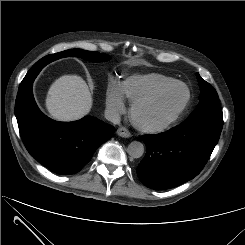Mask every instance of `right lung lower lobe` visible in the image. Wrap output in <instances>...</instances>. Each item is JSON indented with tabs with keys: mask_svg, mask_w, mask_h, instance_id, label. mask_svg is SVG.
<instances>
[{
	"mask_svg": "<svg viewBox=\"0 0 245 245\" xmlns=\"http://www.w3.org/2000/svg\"><path fill=\"white\" fill-rule=\"evenodd\" d=\"M32 84L18 91L15 115L21 138L31 156L62 175L79 172L96 149L110 139L114 127L92 116L75 122H57L37 107Z\"/></svg>",
	"mask_w": 245,
	"mask_h": 245,
	"instance_id": "98d812e1",
	"label": "right lung lower lobe"
}]
</instances>
